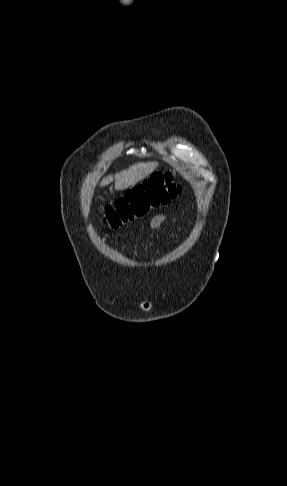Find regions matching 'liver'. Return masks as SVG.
<instances>
[{"label": "liver", "instance_id": "obj_1", "mask_svg": "<svg viewBox=\"0 0 287 486\" xmlns=\"http://www.w3.org/2000/svg\"><path fill=\"white\" fill-rule=\"evenodd\" d=\"M157 162H142L130 166L128 169L117 173L115 178V190H124L136 185L139 181L151 174L157 167ZM113 180L112 176L104 178L100 186H107Z\"/></svg>", "mask_w": 287, "mask_h": 486}]
</instances>
